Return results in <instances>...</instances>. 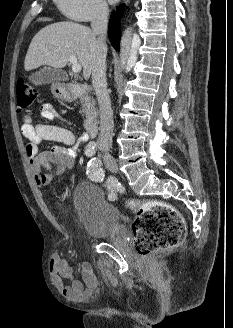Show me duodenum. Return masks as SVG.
<instances>
[{
    "label": "duodenum",
    "instance_id": "duodenum-1",
    "mask_svg": "<svg viewBox=\"0 0 233 328\" xmlns=\"http://www.w3.org/2000/svg\"><path fill=\"white\" fill-rule=\"evenodd\" d=\"M88 91L87 86L73 83L70 84L65 90V96L73 99ZM86 128L91 135H95L99 128V121L96 115H90L86 120Z\"/></svg>",
    "mask_w": 233,
    "mask_h": 328
}]
</instances>
